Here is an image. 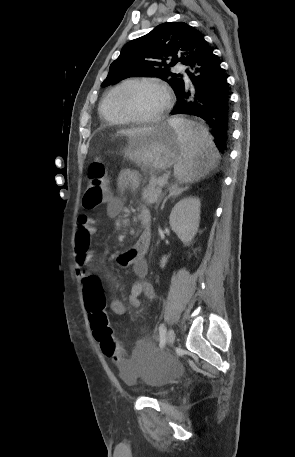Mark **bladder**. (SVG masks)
Listing matches in <instances>:
<instances>
[{
    "instance_id": "1",
    "label": "bladder",
    "mask_w": 295,
    "mask_h": 457,
    "mask_svg": "<svg viewBox=\"0 0 295 457\" xmlns=\"http://www.w3.org/2000/svg\"><path fill=\"white\" fill-rule=\"evenodd\" d=\"M135 352L118 363V375L127 385L142 382L154 390L149 395L158 400H165L170 393L162 387L166 383H175L176 355L169 352H156L154 345H136Z\"/></svg>"
}]
</instances>
